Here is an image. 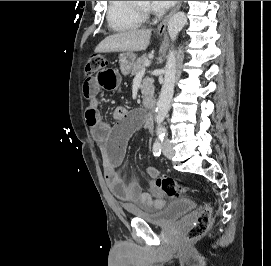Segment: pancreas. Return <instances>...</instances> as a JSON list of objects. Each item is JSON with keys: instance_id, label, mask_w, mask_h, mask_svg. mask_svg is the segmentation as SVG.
<instances>
[{"instance_id": "1", "label": "pancreas", "mask_w": 271, "mask_h": 266, "mask_svg": "<svg viewBox=\"0 0 271 266\" xmlns=\"http://www.w3.org/2000/svg\"><path fill=\"white\" fill-rule=\"evenodd\" d=\"M148 61V57L146 55H143L141 56L140 58H138L132 69H131V74L132 75H136L137 73H139L140 71H142L145 66H144V63ZM140 89H141V92L142 94H149V93H152L153 92V79L152 78H149V77H146L143 81H142V84L140 86Z\"/></svg>"}]
</instances>
